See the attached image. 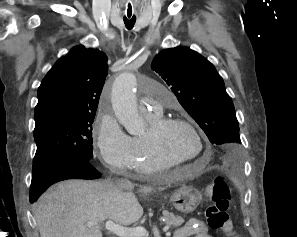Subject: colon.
I'll return each instance as SVG.
<instances>
[{"label": "colon", "mask_w": 297, "mask_h": 237, "mask_svg": "<svg viewBox=\"0 0 297 237\" xmlns=\"http://www.w3.org/2000/svg\"><path fill=\"white\" fill-rule=\"evenodd\" d=\"M208 193L212 201V204L206 210L209 227L213 230H219L229 237H241L235 233L228 215L232 199L228 183L224 179H218L210 185Z\"/></svg>", "instance_id": "obj_1"}]
</instances>
